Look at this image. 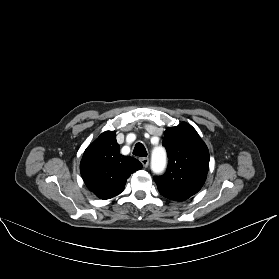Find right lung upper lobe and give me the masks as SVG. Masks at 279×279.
<instances>
[{"label":"right lung upper lobe","instance_id":"right-lung-upper-lobe-1","mask_svg":"<svg viewBox=\"0 0 279 279\" xmlns=\"http://www.w3.org/2000/svg\"><path fill=\"white\" fill-rule=\"evenodd\" d=\"M115 132H103L84 152L80 172L90 191L98 198L120 194L129 176L142 168L135 158L120 154Z\"/></svg>","mask_w":279,"mask_h":279}]
</instances>
